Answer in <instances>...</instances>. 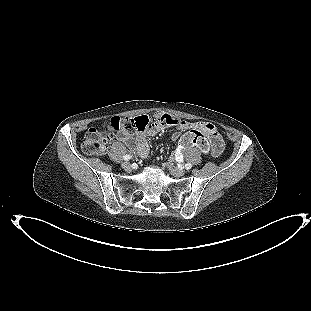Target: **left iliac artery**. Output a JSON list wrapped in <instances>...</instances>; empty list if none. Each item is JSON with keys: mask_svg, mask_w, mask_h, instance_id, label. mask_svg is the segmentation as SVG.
Wrapping results in <instances>:
<instances>
[{"mask_svg": "<svg viewBox=\"0 0 311 311\" xmlns=\"http://www.w3.org/2000/svg\"><path fill=\"white\" fill-rule=\"evenodd\" d=\"M191 167H192V165H191L190 163H187V164L185 165V169H186V170L191 169Z\"/></svg>", "mask_w": 311, "mask_h": 311, "instance_id": "1", "label": "left iliac artery"}]
</instances>
